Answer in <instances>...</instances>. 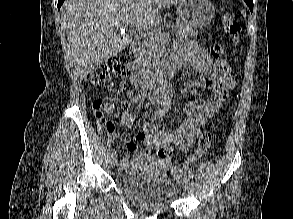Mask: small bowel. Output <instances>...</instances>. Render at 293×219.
Masks as SVG:
<instances>
[{"mask_svg":"<svg viewBox=\"0 0 293 219\" xmlns=\"http://www.w3.org/2000/svg\"><path fill=\"white\" fill-rule=\"evenodd\" d=\"M189 61L194 69L203 75L204 78H189L186 82L188 86L209 89L213 97L204 99L198 103L188 102L185 104L184 113L187 118L181 123L179 128L170 133L162 127L146 122L143 130L126 143L129 152L135 154L139 161L151 158L153 150L163 146H177L181 151H185L202 134L203 127L209 122L214 114L220 109L223 102L228 98V91L235 87V80L230 74H222L209 58L206 50L199 44L191 41H182L178 47L176 62ZM144 93L132 98L130 104L122 115V123L127 128L134 124L135 111L145 101ZM144 143V150H138L137 142ZM127 160L124 159L121 166H125Z\"/></svg>","mask_w":293,"mask_h":219,"instance_id":"1","label":"small bowel"}]
</instances>
